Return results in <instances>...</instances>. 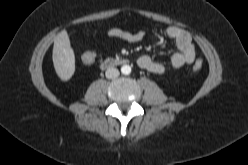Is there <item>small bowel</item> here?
Segmentation results:
<instances>
[{"instance_id": "c3829d8e", "label": "small bowel", "mask_w": 248, "mask_h": 165, "mask_svg": "<svg viewBox=\"0 0 248 165\" xmlns=\"http://www.w3.org/2000/svg\"><path fill=\"white\" fill-rule=\"evenodd\" d=\"M164 34L175 42L178 51L171 56L168 62H160L149 55H142L137 59V64L141 69L154 74H164L190 65L195 61L196 49L190 34L186 30L171 26L165 29ZM107 36L128 43H138L145 38V33L142 31L129 32L120 28H112L107 31Z\"/></svg>"}]
</instances>
